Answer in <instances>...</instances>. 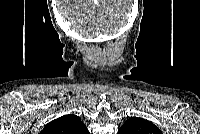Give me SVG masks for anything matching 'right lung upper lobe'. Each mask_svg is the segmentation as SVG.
Masks as SVG:
<instances>
[{
    "label": "right lung upper lobe",
    "instance_id": "obj_1",
    "mask_svg": "<svg viewBox=\"0 0 200 134\" xmlns=\"http://www.w3.org/2000/svg\"><path fill=\"white\" fill-rule=\"evenodd\" d=\"M43 134H87V127L81 122L80 117L68 114L48 123Z\"/></svg>",
    "mask_w": 200,
    "mask_h": 134
}]
</instances>
